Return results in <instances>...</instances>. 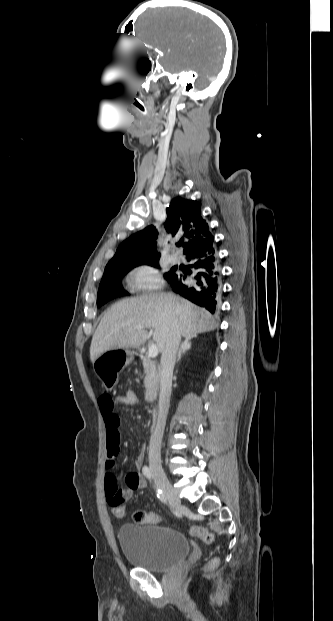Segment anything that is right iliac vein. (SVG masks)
<instances>
[{"mask_svg":"<svg viewBox=\"0 0 333 621\" xmlns=\"http://www.w3.org/2000/svg\"><path fill=\"white\" fill-rule=\"evenodd\" d=\"M152 472L157 482V485L161 488V490H163L170 503L173 505L174 508H179V506L181 505V500L179 499L177 492L169 482L163 469L158 465H152Z\"/></svg>","mask_w":333,"mask_h":621,"instance_id":"right-iliac-vein-1","label":"right iliac vein"}]
</instances>
